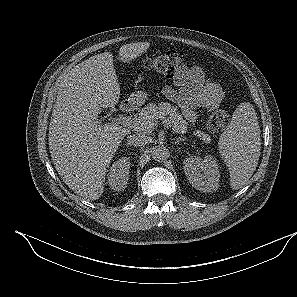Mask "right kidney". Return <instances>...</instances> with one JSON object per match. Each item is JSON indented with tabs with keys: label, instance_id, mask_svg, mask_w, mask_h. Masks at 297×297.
Segmentation results:
<instances>
[{
	"label": "right kidney",
	"instance_id": "right-kidney-1",
	"mask_svg": "<svg viewBox=\"0 0 297 297\" xmlns=\"http://www.w3.org/2000/svg\"><path fill=\"white\" fill-rule=\"evenodd\" d=\"M129 169L130 160L127 157H121L112 164L108 173V183L111 189L122 191L126 188Z\"/></svg>",
	"mask_w": 297,
	"mask_h": 297
}]
</instances>
